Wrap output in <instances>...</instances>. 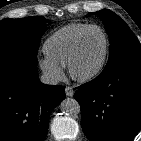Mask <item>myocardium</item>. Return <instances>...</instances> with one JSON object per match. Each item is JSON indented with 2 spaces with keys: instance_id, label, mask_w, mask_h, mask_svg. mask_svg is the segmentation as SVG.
<instances>
[{
  "instance_id": "1",
  "label": "myocardium",
  "mask_w": 141,
  "mask_h": 141,
  "mask_svg": "<svg viewBox=\"0 0 141 141\" xmlns=\"http://www.w3.org/2000/svg\"><path fill=\"white\" fill-rule=\"evenodd\" d=\"M93 29L99 30L104 37L105 46H104L103 56H102L100 63L98 64V66L94 70H92L91 72L86 73V74H78L75 70V64L79 58L81 48H82V43H83V40H84L86 34ZM109 48H110V40H109V37H108L106 31L102 27H100L98 25H90L87 28H85L81 32L79 37L77 38L75 46L72 51V54L70 56L69 62H68V70H69L70 76L74 80H76L78 82H82V83L91 81L94 78H96L103 71V69L106 65L108 54H109Z\"/></svg>"
}]
</instances>
